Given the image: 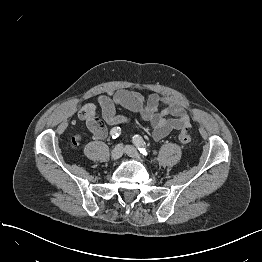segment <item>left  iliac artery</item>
Instances as JSON below:
<instances>
[{
  "label": "left iliac artery",
  "mask_w": 262,
  "mask_h": 262,
  "mask_svg": "<svg viewBox=\"0 0 262 262\" xmlns=\"http://www.w3.org/2000/svg\"><path fill=\"white\" fill-rule=\"evenodd\" d=\"M133 143L137 147V149L140 151V153L144 156H148V152L146 150V143L139 135L133 136Z\"/></svg>",
  "instance_id": "obj_1"
}]
</instances>
